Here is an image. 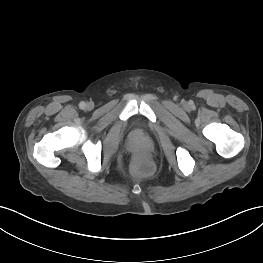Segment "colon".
Returning <instances> with one entry per match:
<instances>
[{"mask_svg":"<svg viewBox=\"0 0 263 263\" xmlns=\"http://www.w3.org/2000/svg\"><path fill=\"white\" fill-rule=\"evenodd\" d=\"M133 171L139 175H148L152 171V164L146 159H138L133 165Z\"/></svg>","mask_w":263,"mask_h":263,"instance_id":"obj_1","label":"colon"}]
</instances>
